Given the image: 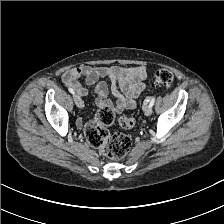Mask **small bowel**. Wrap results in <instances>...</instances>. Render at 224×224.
<instances>
[{
    "instance_id": "obj_1",
    "label": "small bowel",
    "mask_w": 224,
    "mask_h": 224,
    "mask_svg": "<svg viewBox=\"0 0 224 224\" xmlns=\"http://www.w3.org/2000/svg\"><path fill=\"white\" fill-rule=\"evenodd\" d=\"M146 77L147 68L145 66L93 67L82 65L65 71L62 74V82L68 88L76 91L79 96L86 97L88 90L78 82L79 78H83L86 84L95 87L97 105L121 112L136 107V98L145 89V84L142 81ZM101 79L108 80L109 85ZM109 91L116 99L115 105L108 99ZM76 124L81 127L82 119H77Z\"/></svg>"
}]
</instances>
